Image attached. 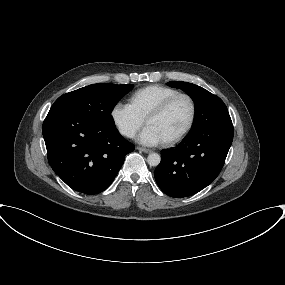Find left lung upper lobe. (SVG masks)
<instances>
[{
	"label": "left lung upper lobe",
	"mask_w": 285,
	"mask_h": 285,
	"mask_svg": "<svg viewBox=\"0 0 285 285\" xmlns=\"http://www.w3.org/2000/svg\"><path fill=\"white\" fill-rule=\"evenodd\" d=\"M167 85L182 89L194 101L195 117L190 132L214 126H233L226 105L216 95L188 82H168Z\"/></svg>",
	"instance_id": "5c2ea615"
}]
</instances>
